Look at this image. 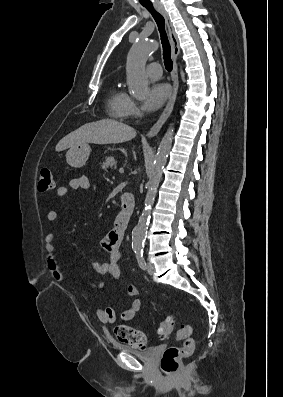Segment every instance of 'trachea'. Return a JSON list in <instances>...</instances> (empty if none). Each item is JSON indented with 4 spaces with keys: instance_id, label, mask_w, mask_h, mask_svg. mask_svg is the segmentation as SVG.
I'll return each instance as SVG.
<instances>
[{
    "instance_id": "obj_1",
    "label": "trachea",
    "mask_w": 283,
    "mask_h": 397,
    "mask_svg": "<svg viewBox=\"0 0 283 397\" xmlns=\"http://www.w3.org/2000/svg\"><path fill=\"white\" fill-rule=\"evenodd\" d=\"M144 7L152 14L153 18L155 19L158 30L160 32L161 42L163 46V59L164 65L168 72L172 71L173 63L171 60V47L168 41V37L165 31V20L164 17L159 14L152 5H144Z\"/></svg>"
}]
</instances>
